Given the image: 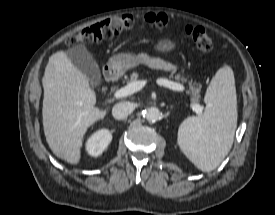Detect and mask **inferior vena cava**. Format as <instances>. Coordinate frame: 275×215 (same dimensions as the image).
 <instances>
[{
  "instance_id": "inferior-vena-cava-1",
  "label": "inferior vena cava",
  "mask_w": 275,
  "mask_h": 215,
  "mask_svg": "<svg viewBox=\"0 0 275 215\" xmlns=\"http://www.w3.org/2000/svg\"><path fill=\"white\" fill-rule=\"evenodd\" d=\"M134 110V106L130 102H120L114 105L112 115L117 120H123L128 117Z\"/></svg>"
}]
</instances>
